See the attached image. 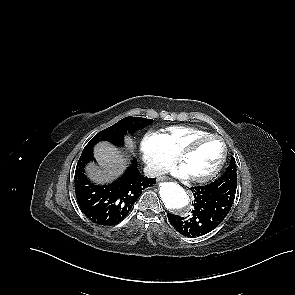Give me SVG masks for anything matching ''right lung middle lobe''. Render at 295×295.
Returning a JSON list of instances; mask_svg holds the SVG:
<instances>
[{"label":"right lung middle lobe","mask_w":295,"mask_h":295,"mask_svg":"<svg viewBox=\"0 0 295 295\" xmlns=\"http://www.w3.org/2000/svg\"><path fill=\"white\" fill-rule=\"evenodd\" d=\"M152 122V119L126 117L95 135L85 146L81 157H85L87 154L93 152V147L99 141H109L117 146H122L124 144L123 137L127 132L134 133L137 130L147 127Z\"/></svg>","instance_id":"obj_1"}]
</instances>
